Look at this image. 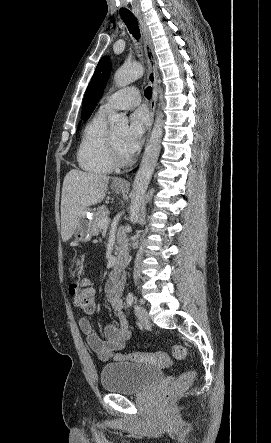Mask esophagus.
Here are the masks:
<instances>
[{"mask_svg":"<svg viewBox=\"0 0 271 443\" xmlns=\"http://www.w3.org/2000/svg\"><path fill=\"white\" fill-rule=\"evenodd\" d=\"M142 35H143V46H144V52H145V58L148 65V75L147 80L148 83L152 86V100L150 104V123H149V131L151 129L153 120H154V113L156 109V101H157V95H158V87H157V78H158V66H157V60L156 55L154 52V46L151 38L150 31L148 29V26L143 19L142 15H136ZM113 183L129 186V182L127 180H123L122 178H115L113 180Z\"/></svg>","mask_w":271,"mask_h":443,"instance_id":"esophagus-1","label":"esophagus"}]
</instances>
